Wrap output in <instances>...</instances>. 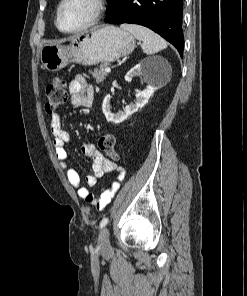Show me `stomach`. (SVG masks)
<instances>
[{
	"mask_svg": "<svg viewBox=\"0 0 247 296\" xmlns=\"http://www.w3.org/2000/svg\"><path fill=\"white\" fill-rule=\"evenodd\" d=\"M135 49V39L129 32L104 25L72 37L69 45L45 44L40 61L48 71H59L70 63L92 66L113 62Z\"/></svg>",
	"mask_w": 247,
	"mask_h": 296,
	"instance_id": "obj_1",
	"label": "stomach"
}]
</instances>
